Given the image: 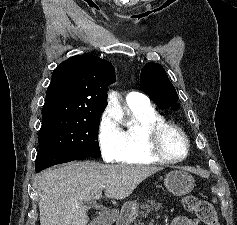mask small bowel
Wrapping results in <instances>:
<instances>
[{
    "label": "small bowel",
    "instance_id": "obj_1",
    "mask_svg": "<svg viewBox=\"0 0 237 225\" xmlns=\"http://www.w3.org/2000/svg\"><path fill=\"white\" fill-rule=\"evenodd\" d=\"M171 225H198L197 221L186 216H177L175 217Z\"/></svg>",
    "mask_w": 237,
    "mask_h": 225
}]
</instances>
